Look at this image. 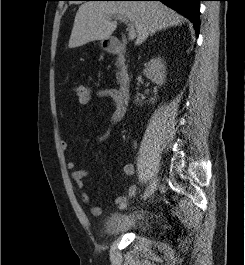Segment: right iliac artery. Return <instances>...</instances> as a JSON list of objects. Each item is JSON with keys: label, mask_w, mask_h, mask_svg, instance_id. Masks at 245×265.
Masks as SVG:
<instances>
[{"label": "right iliac artery", "mask_w": 245, "mask_h": 265, "mask_svg": "<svg viewBox=\"0 0 245 265\" xmlns=\"http://www.w3.org/2000/svg\"><path fill=\"white\" fill-rule=\"evenodd\" d=\"M150 185H151V183H150ZM150 185L147 187V189H146V191L144 193V196H143L144 198H147V196H148V190H149ZM126 207H127V203L119 204V208L120 209H126Z\"/></svg>", "instance_id": "82829eb1"}]
</instances>
